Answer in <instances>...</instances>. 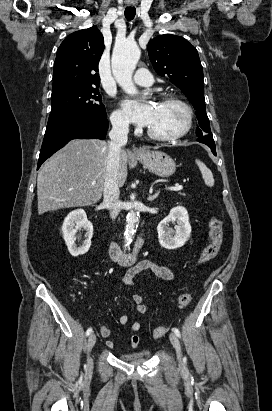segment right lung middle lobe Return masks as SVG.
I'll return each instance as SVG.
<instances>
[{"mask_svg": "<svg viewBox=\"0 0 272 411\" xmlns=\"http://www.w3.org/2000/svg\"><path fill=\"white\" fill-rule=\"evenodd\" d=\"M51 106L47 127L80 116L107 117L98 87L70 89L53 95Z\"/></svg>", "mask_w": 272, "mask_h": 411, "instance_id": "dd1d6c3e", "label": "right lung middle lobe"}]
</instances>
